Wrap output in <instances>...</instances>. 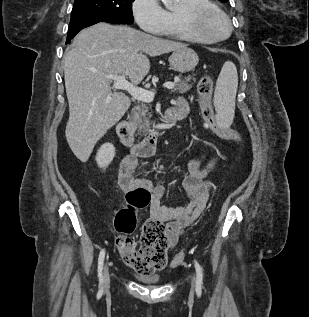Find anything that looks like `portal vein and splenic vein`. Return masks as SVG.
<instances>
[{
    "mask_svg": "<svg viewBox=\"0 0 309 317\" xmlns=\"http://www.w3.org/2000/svg\"><path fill=\"white\" fill-rule=\"evenodd\" d=\"M106 78L114 81L113 88L122 89L128 91L133 98L150 103L154 100L155 92L142 89L134 86L132 83L126 80L124 75H106ZM164 88L173 89L175 84L173 82H166L163 84Z\"/></svg>",
    "mask_w": 309,
    "mask_h": 317,
    "instance_id": "obj_1",
    "label": "portal vein and splenic vein"
}]
</instances>
